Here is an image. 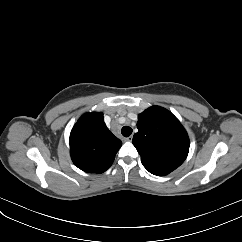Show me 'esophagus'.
I'll use <instances>...</instances> for the list:
<instances>
[{"instance_id":"34e87169","label":"esophagus","mask_w":242,"mask_h":242,"mask_svg":"<svg viewBox=\"0 0 242 242\" xmlns=\"http://www.w3.org/2000/svg\"><path fill=\"white\" fill-rule=\"evenodd\" d=\"M132 139H133V137L132 136H129V137H127V138H125V141H132Z\"/></svg>"}]
</instances>
